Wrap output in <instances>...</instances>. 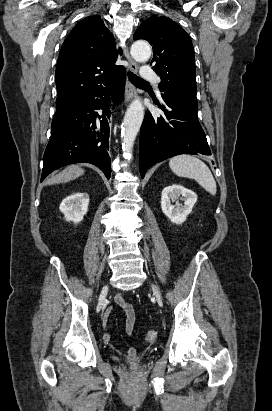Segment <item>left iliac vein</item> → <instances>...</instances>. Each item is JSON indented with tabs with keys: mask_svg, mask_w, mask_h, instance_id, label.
Returning a JSON list of instances; mask_svg holds the SVG:
<instances>
[{
	"mask_svg": "<svg viewBox=\"0 0 272 411\" xmlns=\"http://www.w3.org/2000/svg\"><path fill=\"white\" fill-rule=\"evenodd\" d=\"M151 287H152V291H153L154 295L156 296L157 300H158L159 302H161V301H162V297H161V294H160L159 289H158L154 284H151Z\"/></svg>",
	"mask_w": 272,
	"mask_h": 411,
	"instance_id": "4c4485c4",
	"label": "left iliac vein"
}]
</instances>
